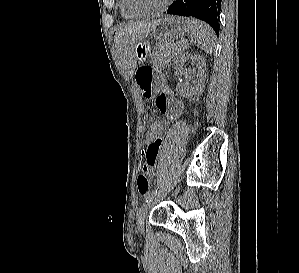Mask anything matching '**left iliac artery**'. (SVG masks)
<instances>
[{"label":"left iliac artery","mask_w":299,"mask_h":273,"mask_svg":"<svg viewBox=\"0 0 299 273\" xmlns=\"http://www.w3.org/2000/svg\"><path fill=\"white\" fill-rule=\"evenodd\" d=\"M158 192V189L153 190L151 194L146 198V203H148Z\"/></svg>","instance_id":"44dca946"}]
</instances>
